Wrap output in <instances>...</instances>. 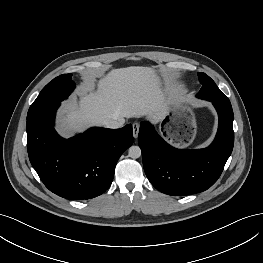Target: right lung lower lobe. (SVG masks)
Here are the masks:
<instances>
[{
  "label": "right lung lower lobe",
  "mask_w": 263,
  "mask_h": 263,
  "mask_svg": "<svg viewBox=\"0 0 263 263\" xmlns=\"http://www.w3.org/2000/svg\"><path fill=\"white\" fill-rule=\"evenodd\" d=\"M60 102L27 118L30 162L45 186L66 199H91L112 183L115 166L133 142L132 125L121 129L94 127L70 139L54 129Z\"/></svg>",
  "instance_id": "98d812e1"
}]
</instances>
